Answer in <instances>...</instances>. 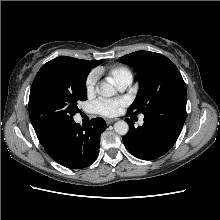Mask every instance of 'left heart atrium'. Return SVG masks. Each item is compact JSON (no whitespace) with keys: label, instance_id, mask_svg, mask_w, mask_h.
<instances>
[{"label":"left heart atrium","instance_id":"obj_1","mask_svg":"<svg viewBox=\"0 0 220 220\" xmlns=\"http://www.w3.org/2000/svg\"><path fill=\"white\" fill-rule=\"evenodd\" d=\"M97 113L104 116L115 115L121 107V102L116 100L101 99L94 104Z\"/></svg>","mask_w":220,"mask_h":220}]
</instances>
